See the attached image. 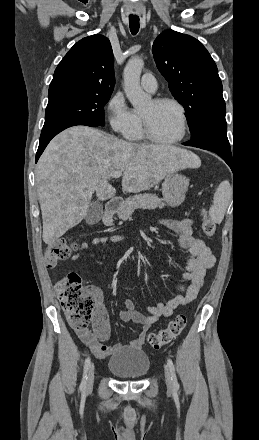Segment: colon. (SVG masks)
<instances>
[{
  "instance_id": "colon-1",
  "label": "colon",
  "mask_w": 259,
  "mask_h": 440,
  "mask_svg": "<svg viewBox=\"0 0 259 440\" xmlns=\"http://www.w3.org/2000/svg\"><path fill=\"white\" fill-rule=\"evenodd\" d=\"M202 230L211 237L215 234L216 225L205 210L201 211ZM76 250V244L63 237L53 241L45 250V262L49 268L68 259ZM55 290L69 324L75 329H87L95 309V298L92 287H84L80 276L70 272L62 276L55 284ZM187 319L178 315L169 322L166 328L152 333L147 341L152 348L158 349L171 343L184 330Z\"/></svg>"
}]
</instances>
